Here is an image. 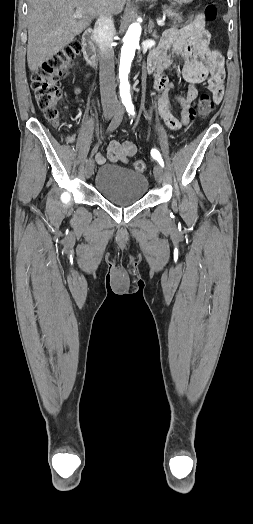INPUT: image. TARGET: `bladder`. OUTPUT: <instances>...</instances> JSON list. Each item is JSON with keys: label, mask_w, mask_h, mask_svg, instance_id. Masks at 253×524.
Here are the masks:
<instances>
[{"label": "bladder", "mask_w": 253, "mask_h": 524, "mask_svg": "<svg viewBox=\"0 0 253 524\" xmlns=\"http://www.w3.org/2000/svg\"><path fill=\"white\" fill-rule=\"evenodd\" d=\"M95 187L110 203L128 206L145 196L149 182L145 175L129 168L103 165L97 171Z\"/></svg>", "instance_id": "1"}]
</instances>
